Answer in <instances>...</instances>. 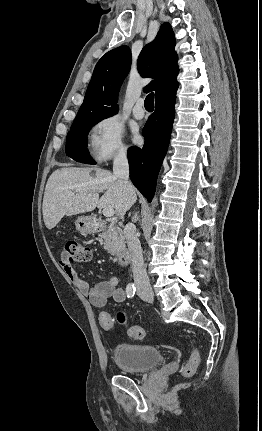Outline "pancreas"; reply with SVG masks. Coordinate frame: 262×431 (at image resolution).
Listing matches in <instances>:
<instances>
[{
    "label": "pancreas",
    "instance_id": "pancreas-1",
    "mask_svg": "<svg viewBox=\"0 0 262 431\" xmlns=\"http://www.w3.org/2000/svg\"><path fill=\"white\" fill-rule=\"evenodd\" d=\"M100 237L104 240L105 249L111 255H116L125 248L123 232L115 222H112Z\"/></svg>",
    "mask_w": 262,
    "mask_h": 431
}]
</instances>
